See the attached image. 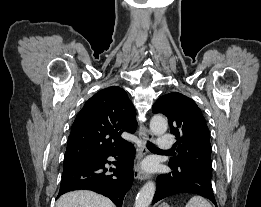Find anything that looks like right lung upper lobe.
Listing matches in <instances>:
<instances>
[{
	"mask_svg": "<svg viewBox=\"0 0 261 207\" xmlns=\"http://www.w3.org/2000/svg\"><path fill=\"white\" fill-rule=\"evenodd\" d=\"M136 111L124 89L97 92L78 113L68 138L64 162L92 159L129 144L123 132L134 133Z\"/></svg>",
	"mask_w": 261,
	"mask_h": 207,
	"instance_id": "1",
	"label": "right lung upper lobe"
}]
</instances>
